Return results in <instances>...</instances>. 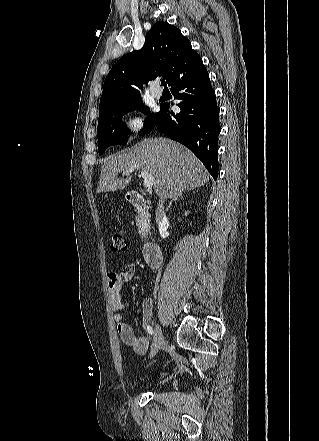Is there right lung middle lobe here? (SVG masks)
I'll use <instances>...</instances> for the list:
<instances>
[{"label":"right lung middle lobe","mask_w":319,"mask_h":441,"mask_svg":"<svg viewBox=\"0 0 319 441\" xmlns=\"http://www.w3.org/2000/svg\"><path fill=\"white\" fill-rule=\"evenodd\" d=\"M131 110H140L146 114L150 113L141 100L99 110L97 127L99 154H102L111 145L126 144L130 131L122 123L121 118ZM158 114L149 115L148 119L145 120L143 130L139 133L140 135L146 134L154 128Z\"/></svg>","instance_id":"dd1d6c3e"}]
</instances>
